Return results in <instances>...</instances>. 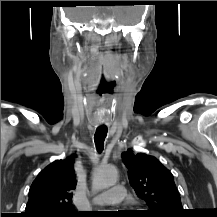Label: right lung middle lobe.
<instances>
[{
  "mask_svg": "<svg viewBox=\"0 0 217 217\" xmlns=\"http://www.w3.org/2000/svg\"><path fill=\"white\" fill-rule=\"evenodd\" d=\"M77 215H64V216H59V217H76Z\"/></svg>",
  "mask_w": 217,
  "mask_h": 217,
  "instance_id": "1",
  "label": "right lung middle lobe"
}]
</instances>
